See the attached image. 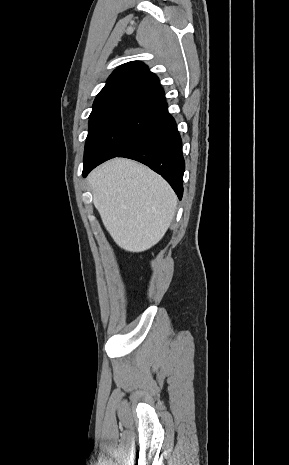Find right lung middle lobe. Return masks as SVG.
I'll return each instance as SVG.
<instances>
[{
  "mask_svg": "<svg viewBox=\"0 0 289 465\" xmlns=\"http://www.w3.org/2000/svg\"><path fill=\"white\" fill-rule=\"evenodd\" d=\"M164 110L162 105L130 102L90 115L84 162L116 157L154 123Z\"/></svg>",
  "mask_w": 289,
  "mask_h": 465,
  "instance_id": "right-lung-middle-lobe-1",
  "label": "right lung middle lobe"
}]
</instances>
